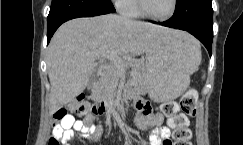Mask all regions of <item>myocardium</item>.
Here are the masks:
<instances>
[{
    "label": "myocardium",
    "mask_w": 243,
    "mask_h": 145,
    "mask_svg": "<svg viewBox=\"0 0 243 145\" xmlns=\"http://www.w3.org/2000/svg\"><path fill=\"white\" fill-rule=\"evenodd\" d=\"M135 2H136L137 10L139 11L140 15H142L146 18H149L151 20H154V21H166V20L171 19L174 16V14L176 13L177 7H178V0H172V8L167 15L154 16L146 10L143 0H135Z\"/></svg>",
    "instance_id": "myocardium-1"
}]
</instances>
